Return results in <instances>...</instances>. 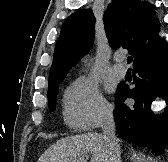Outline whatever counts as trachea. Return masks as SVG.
Here are the masks:
<instances>
[{
	"label": "trachea",
	"mask_w": 168,
	"mask_h": 162,
	"mask_svg": "<svg viewBox=\"0 0 168 162\" xmlns=\"http://www.w3.org/2000/svg\"><path fill=\"white\" fill-rule=\"evenodd\" d=\"M131 62H132V57L130 56L127 58V63L130 64Z\"/></svg>",
	"instance_id": "obj_1"
}]
</instances>
